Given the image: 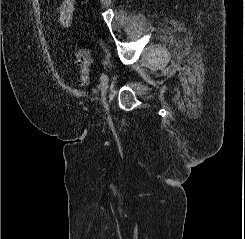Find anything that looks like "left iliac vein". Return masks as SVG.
Wrapping results in <instances>:
<instances>
[{
	"label": "left iliac vein",
	"instance_id": "4c4485c4",
	"mask_svg": "<svg viewBox=\"0 0 245 239\" xmlns=\"http://www.w3.org/2000/svg\"><path fill=\"white\" fill-rule=\"evenodd\" d=\"M108 82H109V77H108V75H105V79H104L103 83L101 84V95H102V102H103L104 107L106 109H108V103H107V100H106Z\"/></svg>",
	"mask_w": 245,
	"mask_h": 239
}]
</instances>
